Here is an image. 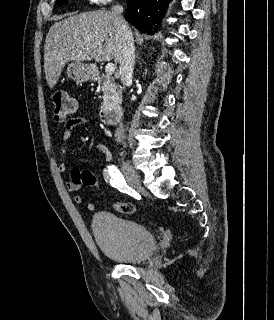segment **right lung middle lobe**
<instances>
[{
    "mask_svg": "<svg viewBox=\"0 0 274 320\" xmlns=\"http://www.w3.org/2000/svg\"><path fill=\"white\" fill-rule=\"evenodd\" d=\"M68 0H57L59 6L64 5Z\"/></svg>",
    "mask_w": 274,
    "mask_h": 320,
    "instance_id": "1",
    "label": "right lung middle lobe"
}]
</instances>
